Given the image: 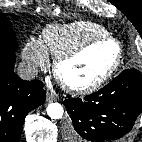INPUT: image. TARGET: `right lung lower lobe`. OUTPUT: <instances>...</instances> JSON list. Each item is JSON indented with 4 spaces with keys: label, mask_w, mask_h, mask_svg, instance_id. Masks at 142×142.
<instances>
[{
    "label": "right lung lower lobe",
    "mask_w": 142,
    "mask_h": 142,
    "mask_svg": "<svg viewBox=\"0 0 142 142\" xmlns=\"http://www.w3.org/2000/svg\"><path fill=\"white\" fill-rule=\"evenodd\" d=\"M15 59L0 55V142H19L26 115L46 97L41 81L14 73Z\"/></svg>",
    "instance_id": "right-lung-lower-lobe-1"
}]
</instances>
